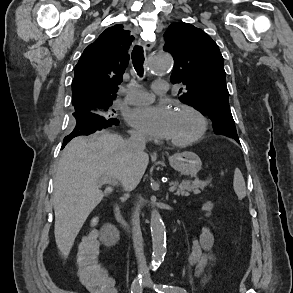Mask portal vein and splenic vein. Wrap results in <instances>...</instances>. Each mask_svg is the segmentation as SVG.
I'll return each mask as SVG.
<instances>
[{
    "label": "portal vein and splenic vein",
    "instance_id": "1",
    "mask_svg": "<svg viewBox=\"0 0 293 293\" xmlns=\"http://www.w3.org/2000/svg\"><path fill=\"white\" fill-rule=\"evenodd\" d=\"M100 181H101L102 183L118 184V182H117L116 180H113V179H111V178H109V177H106V176L101 177V178H100ZM175 190H176V187H174V186H170V187H169V192H174Z\"/></svg>",
    "mask_w": 293,
    "mask_h": 293
}]
</instances>
